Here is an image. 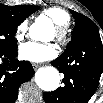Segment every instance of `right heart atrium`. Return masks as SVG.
Instances as JSON below:
<instances>
[{
  "mask_svg": "<svg viewBox=\"0 0 103 103\" xmlns=\"http://www.w3.org/2000/svg\"><path fill=\"white\" fill-rule=\"evenodd\" d=\"M27 29H28L27 21H23L17 26L15 31V38L17 41H21L25 37Z\"/></svg>",
  "mask_w": 103,
  "mask_h": 103,
  "instance_id": "d8ad5b80",
  "label": "right heart atrium"
}]
</instances>
